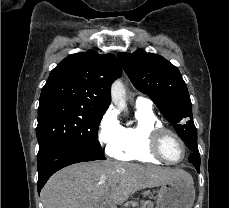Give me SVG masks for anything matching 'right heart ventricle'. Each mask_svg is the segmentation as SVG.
<instances>
[{
	"label": "right heart ventricle",
	"instance_id": "e07e8e85",
	"mask_svg": "<svg viewBox=\"0 0 229 208\" xmlns=\"http://www.w3.org/2000/svg\"><path fill=\"white\" fill-rule=\"evenodd\" d=\"M135 124L121 128V142L113 152V156L122 161L164 164L161 158H153L148 149L152 148L151 133L162 127V122L151 108L136 105Z\"/></svg>",
	"mask_w": 229,
	"mask_h": 208
}]
</instances>
